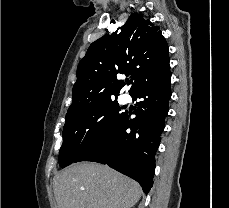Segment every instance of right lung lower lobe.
<instances>
[{"instance_id":"98d812e1","label":"right lung lower lobe","mask_w":229,"mask_h":208,"mask_svg":"<svg viewBox=\"0 0 229 208\" xmlns=\"http://www.w3.org/2000/svg\"><path fill=\"white\" fill-rule=\"evenodd\" d=\"M170 66L160 77L141 85L130 94L140 99L133 111L125 112L118 125L83 152L74 162L107 164L140 183L147 194L153 185L155 152L164 130L171 97ZM127 129H130L127 131Z\"/></svg>"}]
</instances>
